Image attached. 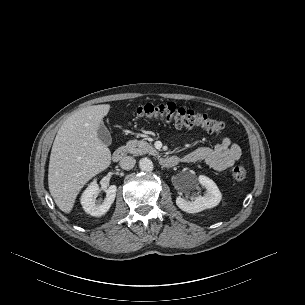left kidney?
<instances>
[{
	"label": "left kidney",
	"mask_w": 305,
	"mask_h": 305,
	"mask_svg": "<svg viewBox=\"0 0 305 305\" xmlns=\"http://www.w3.org/2000/svg\"><path fill=\"white\" fill-rule=\"evenodd\" d=\"M197 180L206 189L204 196H197L194 200H186L180 196L176 199L177 206L187 213H198L213 208L220 203L222 198L221 192L213 180L204 175H200ZM195 183L196 180H193L192 184Z\"/></svg>",
	"instance_id": "left-kidney-1"
}]
</instances>
